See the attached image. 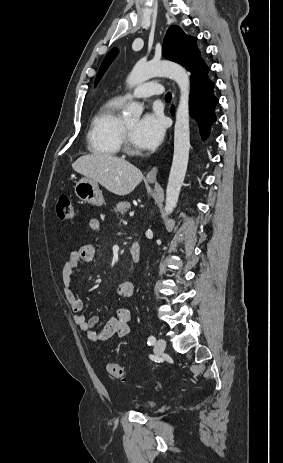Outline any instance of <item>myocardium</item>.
I'll return each mask as SVG.
<instances>
[{
    "mask_svg": "<svg viewBox=\"0 0 283 463\" xmlns=\"http://www.w3.org/2000/svg\"><path fill=\"white\" fill-rule=\"evenodd\" d=\"M121 147L127 154H130V155L141 154V151L139 149L134 148V146L132 145L129 130L124 122L122 124V130H121Z\"/></svg>",
    "mask_w": 283,
    "mask_h": 463,
    "instance_id": "obj_1",
    "label": "myocardium"
}]
</instances>
